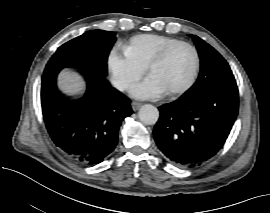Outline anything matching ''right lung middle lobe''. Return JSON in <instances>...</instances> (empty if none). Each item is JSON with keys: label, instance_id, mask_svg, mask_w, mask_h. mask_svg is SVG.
I'll list each match as a JSON object with an SVG mask.
<instances>
[{"label": "right lung middle lobe", "instance_id": "obj_1", "mask_svg": "<svg viewBox=\"0 0 270 213\" xmlns=\"http://www.w3.org/2000/svg\"><path fill=\"white\" fill-rule=\"evenodd\" d=\"M115 40V34L110 31L86 32L60 46L45 70L75 67L106 76L107 58Z\"/></svg>", "mask_w": 270, "mask_h": 213}]
</instances>
